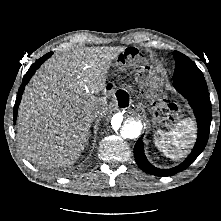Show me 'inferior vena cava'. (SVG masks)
<instances>
[{"label":"inferior vena cava","mask_w":221,"mask_h":221,"mask_svg":"<svg viewBox=\"0 0 221 221\" xmlns=\"http://www.w3.org/2000/svg\"><path fill=\"white\" fill-rule=\"evenodd\" d=\"M92 116H93V119H94V120H97V121H98V120H101V119H102V116H103V115H102V112H101V111H98V110H97V111H94V112H93V115H92Z\"/></svg>","instance_id":"inferior-vena-cava-1"}]
</instances>
